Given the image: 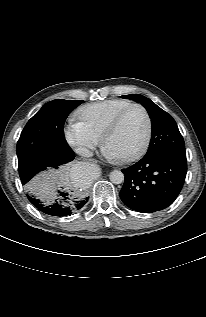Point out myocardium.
<instances>
[{"label": "myocardium", "instance_id": "obj_1", "mask_svg": "<svg viewBox=\"0 0 206 317\" xmlns=\"http://www.w3.org/2000/svg\"><path fill=\"white\" fill-rule=\"evenodd\" d=\"M138 108L140 109L146 119V132L144 139L141 143V145L133 152L130 154H127L125 156H120L118 157L119 160L122 161H131L134 160L138 157H140L148 148L150 140H151V135H152V119L150 116L149 111L145 106L139 103H134L120 111L117 115L113 117V119L109 122L105 130L103 131L101 135V142L103 145H105L107 138L119 127L125 116L133 109Z\"/></svg>", "mask_w": 206, "mask_h": 317}]
</instances>
